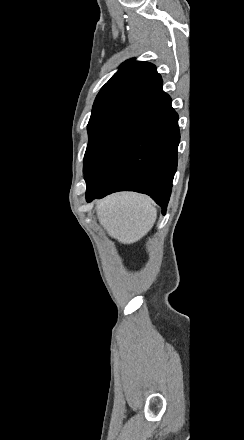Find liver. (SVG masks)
Listing matches in <instances>:
<instances>
[{"label":"liver","mask_w":244,"mask_h":440,"mask_svg":"<svg viewBox=\"0 0 244 440\" xmlns=\"http://www.w3.org/2000/svg\"><path fill=\"white\" fill-rule=\"evenodd\" d=\"M97 218L110 238L120 244H134L153 228L157 210L149 196L119 192L100 200Z\"/></svg>","instance_id":"6515ba94"}]
</instances>
